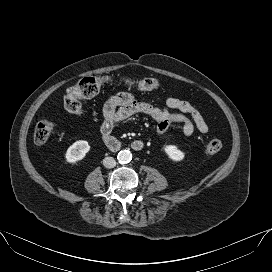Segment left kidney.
I'll return each instance as SVG.
<instances>
[{
	"instance_id": "5707ae66",
	"label": "left kidney",
	"mask_w": 272,
	"mask_h": 272,
	"mask_svg": "<svg viewBox=\"0 0 272 272\" xmlns=\"http://www.w3.org/2000/svg\"><path fill=\"white\" fill-rule=\"evenodd\" d=\"M165 153L169 156L173 161H181L184 158V152L179 150L175 145H167L164 147Z\"/></svg>"
}]
</instances>
